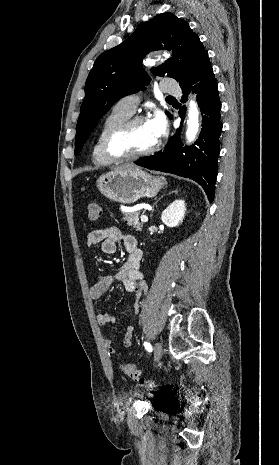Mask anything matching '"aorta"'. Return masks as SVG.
<instances>
[{
  "label": "aorta",
  "mask_w": 279,
  "mask_h": 465,
  "mask_svg": "<svg viewBox=\"0 0 279 465\" xmlns=\"http://www.w3.org/2000/svg\"><path fill=\"white\" fill-rule=\"evenodd\" d=\"M149 62H152V60H149ZM198 130H199V112L197 109L196 102L191 100L189 102L187 131H186V138L189 142H192L196 138Z\"/></svg>",
  "instance_id": "obj_1"
}]
</instances>
